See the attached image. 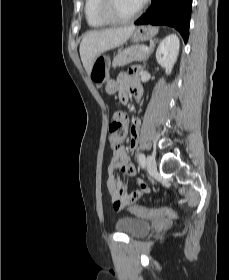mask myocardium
<instances>
[{"label": "myocardium", "mask_w": 229, "mask_h": 280, "mask_svg": "<svg viewBox=\"0 0 229 280\" xmlns=\"http://www.w3.org/2000/svg\"><path fill=\"white\" fill-rule=\"evenodd\" d=\"M147 1L148 0H146L143 5L139 6V8L132 15L128 17H120L113 11L114 0H100L98 15L104 22L108 24L118 25L130 23L139 17Z\"/></svg>", "instance_id": "obj_1"}]
</instances>
